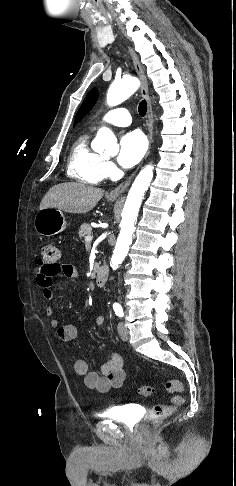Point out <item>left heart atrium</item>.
Masks as SVG:
<instances>
[{
  "instance_id": "39dd6f15",
  "label": "left heart atrium",
  "mask_w": 236,
  "mask_h": 486,
  "mask_svg": "<svg viewBox=\"0 0 236 486\" xmlns=\"http://www.w3.org/2000/svg\"><path fill=\"white\" fill-rule=\"evenodd\" d=\"M146 148V139L139 131L126 133L120 139L118 163L124 168L134 166L142 159Z\"/></svg>"
}]
</instances>
